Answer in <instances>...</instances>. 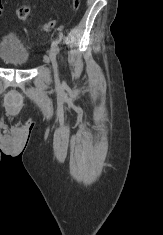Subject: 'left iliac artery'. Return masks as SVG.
Listing matches in <instances>:
<instances>
[{
    "label": "left iliac artery",
    "instance_id": "1",
    "mask_svg": "<svg viewBox=\"0 0 163 235\" xmlns=\"http://www.w3.org/2000/svg\"><path fill=\"white\" fill-rule=\"evenodd\" d=\"M52 47H54V48H55L56 53H58V52H59V47H58V43H57V41H53V42H52Z\"/></svg>",
    "mask_w": 163,
    "mask_h": 235
}]
</instances>
